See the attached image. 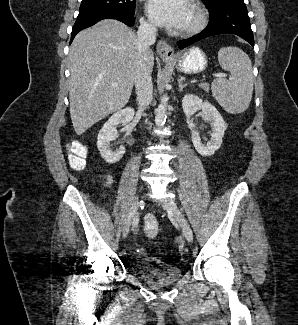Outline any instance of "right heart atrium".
Here are the masks:
<instances>
[{"label": "right heart atrium", "mask_w": 298, "mask_h": 325, "mask_svg": "<svg viewBox=\"0 0 298 325\" xmlns=\"http://www.w3.org/2000/svg\"><path fill=\"white\" fill-rule=\"evenodd\" d=\"M143 27L145 30H153V27L145 20L143 21Z\"/></svg>", "instance_id": "d8ad5b80"}]
</instances>
